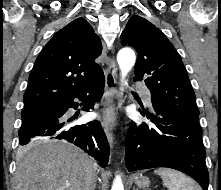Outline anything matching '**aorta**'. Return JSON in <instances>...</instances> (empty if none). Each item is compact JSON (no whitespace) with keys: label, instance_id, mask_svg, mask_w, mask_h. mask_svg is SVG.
Instances as JSON below:
<instances>
[{"label":"aorta","instance_id":"762f6f07","mask_svg":"<svg viewBox=\"0 0 221 190\" xmlns=\"http://www.w3.org/2000/svg\"><path fill=\"white\" fill-rule=\"evenodd\" d=\"M136 56L132 49L123 48L118 52L117 62L121 70L122 79L128 74L135 64ZM111 190H124L122 179L117 175L113 181Z\"/></svg>","mask_w":221,"mask_h":190}]
</instances>
